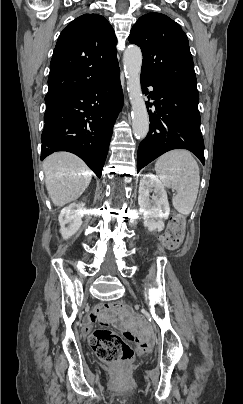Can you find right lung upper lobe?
Here are the masks:
<instances>
[{
	"label": "right lung upper lobe",
	"mask_w": 243,
	"mask_h": 404,
	"mask_svg": "<svg viewBox=\"0 0 243 404\" xmlns=\"http://www.w3.org/2000/svg\"><path fill=\"white\" fill-rule=\"evenodd\" d=\"M117 39L99 14H84L64 28L50 63L45 100L82 90L118 72Z\"/></svg>",
	"instance_id": "1"
}]
</instances>
